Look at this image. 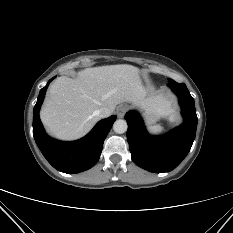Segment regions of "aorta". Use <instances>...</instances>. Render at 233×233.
Returning a JSON list of instances; mask_svg holds the SVG:
<instances>
[{
  "instance_id": "762f6f07",
  "label": "aorta",
  "mask_w": 233,
  "mask_h": 233,
  "mask_svg": "<svg viewBox=\"0 0 233 233\" xmlns=\"http://www.w3.org/2000/svg\"><path fill=\"white\" fill-rule=\"evenodd\" d=\"M127 128V122L123 119L116 120L113 124V130L117 134L125 133L127 131Z\"/></svg>"
}]
</instances>
